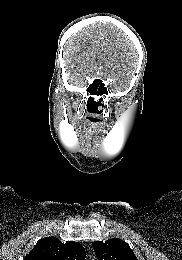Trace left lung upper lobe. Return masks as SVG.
<instances>
[{"label":"left lung upper lobe","mask_w":182,"mask_h":260,"mask_svg":"<svg viewBox=\"0 0 182 260\" xmlns=\"http://www.w3.org/2000/svg\"><path fill=\"white\" fill-rule=\"evenodd\" d=\"M93 249L98 260H138L130 246L117 238L94 241Z\"/></svg>","instance_id":"1"}]
</instances>
